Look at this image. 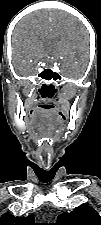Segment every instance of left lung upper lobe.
I'll list each match as a JSON object with an SVG mask.
<instances>
[{
  "instance_id": "obj_1",
  "label": "left lung upper lobe",
  "mask_w": 101,
  "mask_h": 225,
  "mask_svg": "<svg viewBox=\"0 0 101 225\" xmlns=\"http://www.w3.org/2000/svg\"><path fill=\"white\" fill-rule=\"evenodd\" d=\"M54 225H101V217L90 206L81 205L70 213H62Z\"/></svg>"
}]
</instances>
